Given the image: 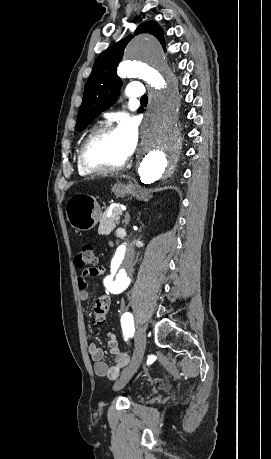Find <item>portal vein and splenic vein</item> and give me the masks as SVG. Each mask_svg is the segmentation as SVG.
<instances>
[{"label":"portal vein and splenic vein","instance_id":"portal-vein-and-splenic-vein-1","mask_svg":"<svg viewBox=\"0 0 271 459\" xmlns=\"http://www.w3.org/2000/svg\"><path fill=\"white\" fill-rule=\"evenodd\" d=\"M120 216H121L120 214H116V217H115L116 221H120Z\"/></svg>","mask_w":271,"mask_h":459}]
</instances>
